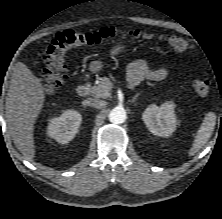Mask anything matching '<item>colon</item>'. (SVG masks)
I'll return each instance as SVG.
<instances>
[{
	"mask_svg": "<svg viewBox=\"0 0 222 219\" xmlns=\"http://www.w3.org/2000/svg\"><path fill=\"white\" fill-rule=\"evenodd\" d=\"M123 37L134 40H149L151 34L140 30L120 31L114 27H103L94 31L68 30L56 35L48 46L44 56L43 84L47 90H53L62 86L68 73L67 53L80 46L99 45L105 41ZM168 45L178 51L184 52L190 49V42L176 35L164 37ZM193 88L199 95H206L210 91V82L206 79H197Z\"/></svg>",
	"mask_w": 222,
	"mask_h": 219,
	"instance_id": "5ec220e1",
	"label": "colon"
}]
</instances>
